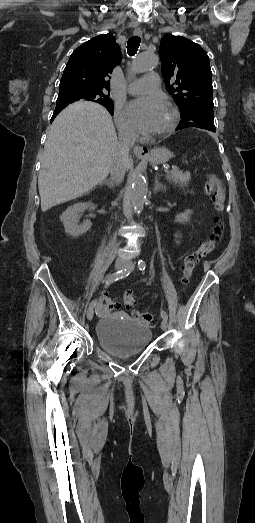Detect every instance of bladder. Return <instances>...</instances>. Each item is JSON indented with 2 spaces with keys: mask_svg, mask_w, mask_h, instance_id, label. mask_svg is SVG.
<instances>
[{
  "mask_svg": "<svg viewBox=\"0 0 255 523\" xmlns=\"http://www.w3.org/2000/svg\"><path fill=\"white\" fill-rule=\"evenodd\" d=\"M124 327H119L114 318L103 317L96 327L95 338L108 353L127 356L141 352L150 345L152 330L150 327L134 323L129 318Z\"/></svg>",
  "mask_w": 255,
  "mask_h": 523,
  "instance_id": "obj_1",
  "label": "bladder"
}]
</instances>
